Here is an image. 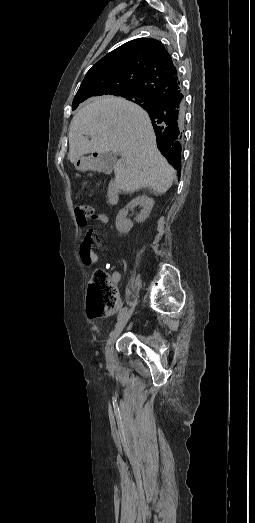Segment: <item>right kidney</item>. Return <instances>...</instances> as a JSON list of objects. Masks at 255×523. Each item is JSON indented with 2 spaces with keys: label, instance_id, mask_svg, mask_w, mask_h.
<instances>
[{
  "label": "right kidney",
  "instance_id": "1",
  "mask_svg": "<svg viewBox=\"0 0 255 523\" xmlns=\"http://www.w3.org/2000/svg\"><path fill=\"white\" fill-rule=\"evenodd\" d=\"M137 204H140V206H143V210H141L140 214L136 216V222H144L146 218H148L153 206H154V200L153 198H149V196H146V194H143V196H138V198H134V200H131L130 204L126 206L128 210H131V208H135ZM126 214L127 210H119L118 216L116 218V228L120 234H127L131 228H133V222L131 220H126Z\"/></svg>",
  "mask_w": 255,
  "mask_h": 523
}]
</instances>
